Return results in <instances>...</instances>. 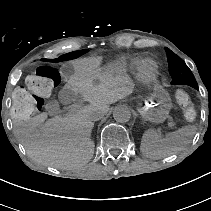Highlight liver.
<instances>
[{
  "label": "liver",
  "instance_id": "1",
  "mask_svg": "<svg viewBox=\"0 0 211 211\" xmlns=\"http://www.w3.org/2000/svg\"><path fill=\"white\" fill-rule=\"evenodd\" d=\"M97 65L80 63L67 81V87L83 93L90 102V111L102 116L108 106L127 95L122 81L109 79L93 85L87 73ZM47 119L41 113L27 121H15L14 134L27 153L38 162L58 169H74L86 164L93 156L94 142L90 139L94 123L84 108L69 117Z\"/></svg>",
  "mask_w": 211,
  "mask_h": 211
}]
</instances>
